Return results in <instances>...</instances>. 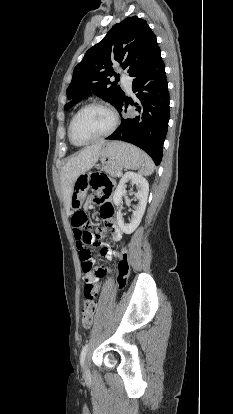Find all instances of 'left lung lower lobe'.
<instances>
[{"label": "left lung lower lobe", "mask_w": 233, "mask_h": 414, "mask_svg": "<svg viewBox=\"0 0 233 414\" xmlns=\"http://www.w3.org/2000/svg\"><path fill=\"white\" fill-rule=\"evenodd\" d=\"M164 68L159 50L141 71L132 76V90L138 92V99L130 104L136 107L137 115L128 119L121 118V125L106 138L140 147L152 157L156 165L162 160L170 114L168 82ZM128 104L124 97L116 109L119 113L124 109L126 111Z\"/></svg>", "instance_id": "0a47b994"}]
</instances>
